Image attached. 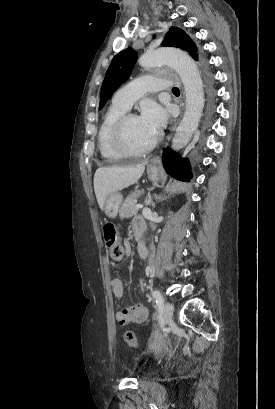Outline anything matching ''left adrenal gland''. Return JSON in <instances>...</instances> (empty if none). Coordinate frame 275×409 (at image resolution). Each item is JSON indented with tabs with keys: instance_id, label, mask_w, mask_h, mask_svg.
Instances as JSON below:
<instances>
[{
	"instance_id": "left-adrenal-gland-1",
	"label": "left adrenal gland",
	"mask_w": 275,
	"mask_h": 409,
	"mask_svg": "<svg viewBox=\"0 0 275 409\" xmlns=\"http://www.w3.org/2000/svg\"><path fill=\"white\" fill-rule=\"evenodd\" d=\"M147 205H152V207H155V202H153V200H149V202H147Z\"/></svg>"
}]
</instances>
